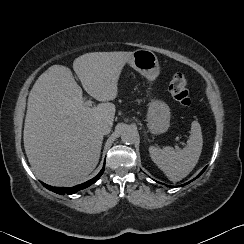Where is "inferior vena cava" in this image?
<instances>
[{"instance_id":"inferior-vena-cava-1","label":"inferior vena cava","mask_w":244,"mask_h":244,"mask_svg":"<svg viewBox=\"0 0 244 244\" xmlns=\"http://www.w3.org/2000/svg\"><path fill=\"white\" fill-rule=\"evenodd\" d=\"M97 128L102 135L109 134L111 131V125L106 121L101 122Z\"/></svg>"}]
</instances>
